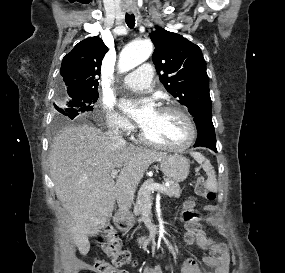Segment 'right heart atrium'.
<instances>
[{"label": "right heart atrium", "mask_w": 285, "mask_h": 273, "mask_svg": "<svg viewBox=\"0 0 285 273\" xmlns=\"http://www.w3.org/2000/svg\"><path fill=\"white\" fill-rule=\"evenodd\" d=\"M102 112L107 127L117 134L126 135L133 131L131 123L125 117L117 113L110 103H103Z\"/></svg>", "instance_id": "1"}]
</instances>
